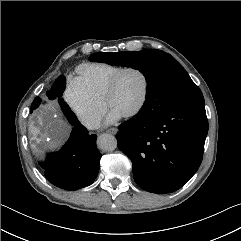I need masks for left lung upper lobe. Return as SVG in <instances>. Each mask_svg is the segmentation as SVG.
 Here are the masks:
<instances>
[{
    "mask_svg": "<svg viewBox=\"0 0 241 241\" xmlns=\"http://www.w3.org/2000/svg\"><path fill=\"white\" fill-rule=\"evenodd\" d=\"M89 60L131 67L142 72L148 84L146 100L160 93L167 107L204 103L201 90L185 69L170 54L161 50L98 52L92 54Z\"/></svg>",
    "mask_w": 241,
    "mask_h": 241,
    "instance_id": "1",
    "label": "left lung upper lobe"
}]
</instances>
